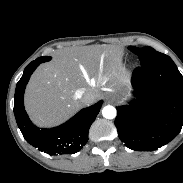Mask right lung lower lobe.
<instances>
[{
	"mask_svg": "<svg viewBox=\"0 0 183 183\" xmlns=\"http://www.w3.org/2000/svg\"><path fill=\"white\" fill-rule=\"evenodd\" d=\"M49 61V57H39L24 69V73L17 83L14 96V114L19 129L25 140L38 150L50 155L74 154L88 141V132L100 111L103 101L82 109L73 118L61 126L51 129H40L34 126L23 104L25 87L36 67Z\"/></svg>",
	"mask_w": 183,
	"mask_h": 183,
	"instance_id": "right-lung-lower-lobe-1",
	"label": "right lung lower lobe"
}]
</instances>
